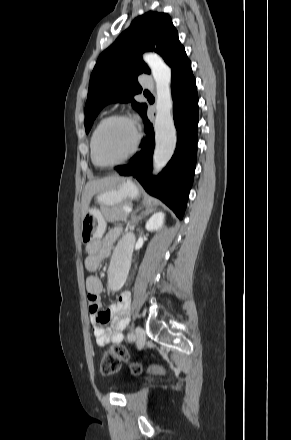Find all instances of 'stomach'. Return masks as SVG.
Wrapping results in <instances>:
<instances>
[{
	"instance_id": "0dacf381",
	"label": "stomach",
	"mask_w": 291,
	"mask_h": 440,
	"mask_svg": "<svg viewBox=\"0 0 291 440\" xmlns=\"http://www.w3.org/2000/svg\"><path fill=\"white\" fill-rule=\"evenodd\" d=\"M139 195V188L130 179L118 181L114 187L96 193V201L103 206H116L135 199ZM106 228L105 220L101 212L96 208L88 209L82 218L81 239L89 242L101 236Z\"/></svg>"
}]
</instances>
